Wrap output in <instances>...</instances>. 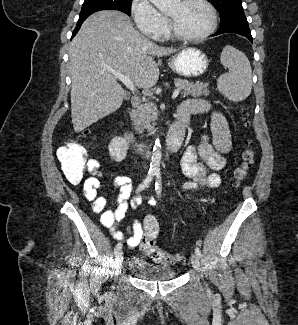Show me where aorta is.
I'll use <instances>...</instances> for the list:
<instances>
[{
  "label": "aorta",
  "mask_w": 298,
  "mask_h": 325,
  "mask_svg": "<svg viewBox=\"0 0 298 325\" xmlns=\"http://www.w3.org/2000/svg\"><path fill=\"white\" fill-rule=\"evenodd\" d=\"M154 6H157L159 10H168V8H172V6H176L180 0H150ZM161 144L159 138L155 140V144L152 150V156L150 158V167L149 173H159L160 165H161Z\"/></svg>",
  "instance_id": "obj_1"
}]
</instances>
